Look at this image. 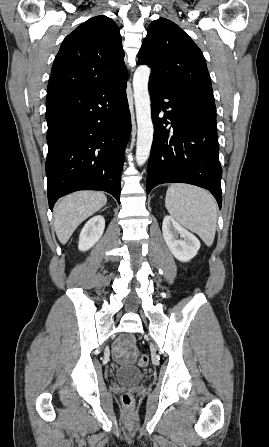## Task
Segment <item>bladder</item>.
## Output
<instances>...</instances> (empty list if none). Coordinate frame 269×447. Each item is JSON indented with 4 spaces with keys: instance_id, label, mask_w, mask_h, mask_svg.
<instances>
[{
    "instance_id": "1",
    "label": "bladder",
    "mask_w": 269,
    "mask_h": 447,
    "mask_svg": "<svg viewBox=\"0 0 269 447\" xmlns=\"http://www.w3.org/2000/svg\"><path fill=\"white\" fill-rule=\"evenodd\" d=\"M114 379L119 383H137L144 379V372L135 366L120 365L117 368Z\"/></svg>"
}]
</instances>
